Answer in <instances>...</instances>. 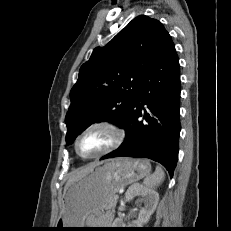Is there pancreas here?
I'll return each mask as SVG.
<instances>
[{
  "instance_id": "1",
  "label": "pancreas",
  "mask_w": 231,
  "mask_h": 231,
  "mask_svg": "<svg viewBox=\"0 0 231 231\" xmlns=\"http://www.w3.org/2000/svg\"><path fill=\"white\" fill-rule=\"evenodd\" d=\"M117 199H115V195L110 199L108 208H114L116 206Z\"/></svg>"
}]
</instances>
